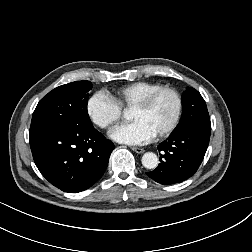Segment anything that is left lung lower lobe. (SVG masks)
I'll use <instances>...</instances> for the list:
<instances>
[{"label": "left lung lower lobe", "mask_w": 252, "mask_h": 252, "mask_svg": "<svg viewBox=\"0 0 252 252\" xmlns=\"http://www.w3.org/2000/svg\"><path fill=\"white\" fill-rule=\"evenodd\" d=\"M210 133L209 125H194L172 133L158 145L161 163L146 174L163 185L187 180L196 173L204 158Z\"/></svg>", "instance_id": "left-lung-lower-lobe-1"}]
</instances>
